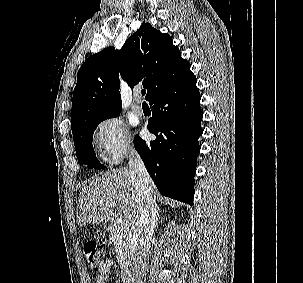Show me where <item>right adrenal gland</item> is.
Masks as SVG:
<instances>
[{"label": "right adrenal gland", "instance_id": "right-adrenal-gland-1", "mask_svg": "<svg viewBox=\"0 0 303 283\" xmlns=\"http://www.w3.org/2000/svg\"><path fill=\"white\" fill-rule=\"evenodd\" d=\"M158 218H159V213L157 211L156 216L154 218L155 227L158 225Z\"/></svg>", "mask_w": 303, "mask_h": 283}]
</instances>
